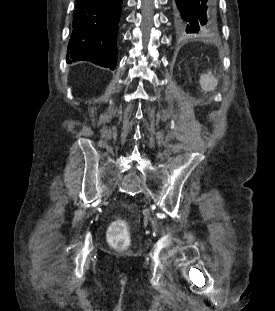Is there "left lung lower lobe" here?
Here are the masks:
<instances>
[{
    "mask_svg": "<svg viewBox=\"0 0 275 311\" xmlns=\"http://www.w3.org/2000/svg\"><path fill=\"white\" fill-rule=\"evenodd\" d=\"M173 19L180 37L217 29L215 0H173Z\"/></svg>",
    "mask_w": 275,
    "mask_h": 311,
    "instance_id": "1",
    "label": "left lung lower lobe"
}]
</instances>
